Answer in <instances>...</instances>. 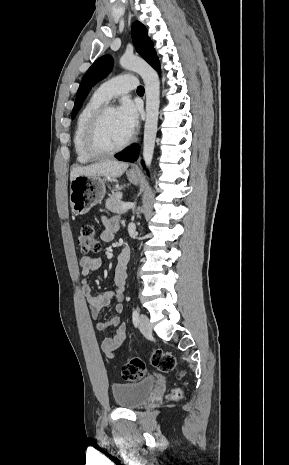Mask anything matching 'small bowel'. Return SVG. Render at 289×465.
Here are the masks:
<instances>
[{"mask_svg": "<svg viewBox=\"0 0 289 465\" xmlns=\"http://www.w3.org/2000/svg\"><path fill=\"white\" fill-rule=\"evenodd\" d=\"M119 229V223L116 218L104 219V228L101 233V239L105 242L111 241L114 234ZM102 266V258L99 256H83L79 260V269L84 283L82 292L90 306L91 317L93 320H97L100 311L114 304V308L117 312L123 310V297L125 291V282L127 278V264L122 263L118 259V263L114 274V288L104 293H94L91 286L87 282V277L94 271H97ZM96 328L100 332H106L109 329H113L112 336L106 337L100 348L102 352L109 358L114 357L116 351L120 348L126 339V326L121 323L118 317H113L107 321H100L96 323Z\"/></svg>", "mask_w": 289, "mask_h": 465, "instance_id": "1", "label": "small bowel"}]
</instances>
